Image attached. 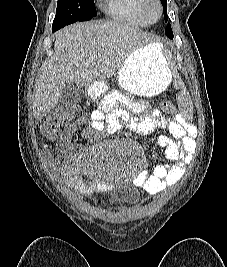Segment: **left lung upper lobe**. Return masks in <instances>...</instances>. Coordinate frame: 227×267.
Wrapping results in <instances>:
<instances>
[{
    "label": "left lung upper lobe",
    "instance_id": "5c2ea615",
    "mask_svg": "<svg viewBox=\"0 0 227 267\" xmlns=\"http://www.w3.org/2000/svg\"><path fill=\"white\" fill-rule=\"evenodd\" d=\"M161 3L163 5L164 16H165V19L167 21V0H161ZM167 27H171V25L168 24Z\"/></svg>",
    "mask_w": 227,
    "mask_h": 267
}]
</instances>
